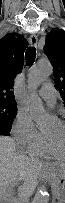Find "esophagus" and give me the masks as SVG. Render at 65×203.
<instances>
[{"label":"esophagus","instance_id":"obj_1","mask_svg":"<svg viewBox=\"0 0 65 203\" xmlns=\"http://www.w3.org/2000/svg\"><path fill=\"white\" fill-rule=\"evenodd\" d=\"M29 41H30L31 46L36 47L37 41H38L37 35L32 34L29 38Z\"/></svg>","mask_w":65,"mask_h":203}]
</instances>
